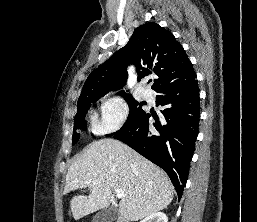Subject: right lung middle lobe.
<instances>
[{
    "mask_svg": "<svg viewBox=\"0 0 257 222\" xmlns=\"http://www.w3.org/2000/svg\"><path fill=\"white\" fill-rule=\"evenodd\" d=\"M101 96H95L87 98L83 101H81L77 105V113L74 118V132H73V138H72V144L74 145L80 138V135L76 133L77 128H83L85 129V115L90 108L91 104L95 101H97ZM125 100L127 101L130 113L129 116L125 122V124L122 126V128L118 131H123L130 127L145 111L142 109L143 103L136 101L131 95H124ZM117 132V133H118ZM116 133H114L115 135ZM107 136H111L107 135Z\"/></svg>",
    "mask_w": 257,
    "mask_h": 222,
    "instance_id": "right-lung-middle-lobe-1",
    "label": "right lung middle lobe"
}]
</instances>
